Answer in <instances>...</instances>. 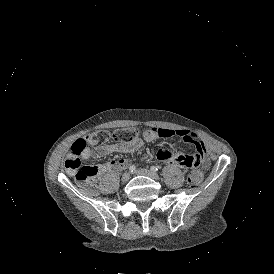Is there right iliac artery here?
Instances as JSON below:
<instances>
[{"label":"right iliac artery","mask_w":274,"mask_h":274,"mask_svg":"<svg viewBox=\"0 0 274 274\" xmlns=\"http://www.w3.org/2000/svg\"><path fill=\"white\" fill-rule=\"evenodd\" d=\"M136 170V166L135 165H131L130 167H129V171L130 172H134Z\"/></svg>","instance_id":"right-iliac-artery-1"}]
</instances>
